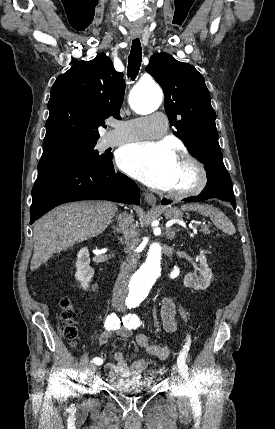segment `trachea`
Returning a JSON list of instances; mask_svg holds the SVG:
<instances>
[{
	"mask_svg": "<svg viewBox=\"0 0 275 429\" xmlns=\"http://www.w3.org/2000/svg\"><path fill=\"white\" fill-rule=\"evenodd\" d=\"M142 61V48L139 39H134L132 41L131 52L128 57V70L127 76L131 78V80H135L138 72L140 70Z\"/></svg>",
	"mask_w": 275,
	"mask_h": 429,
	"instance_id": "3493384b",
	"label": "trachea"
}]
</instances>
